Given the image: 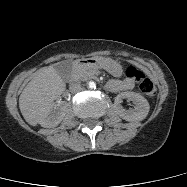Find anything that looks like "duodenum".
Here are the masks:
<instances>
[{
    "label": "duodenum",
    "instance_id": "obj_1",
    "mask_svg": "<svg viewBox=\"0 0 187 187\" xmlns=\"http://www.w3.org/2000/svg\"><path fill=\"white\" fill-rule=\"evenodd\" d=\"M94 62V60L92 58H81V59H78L76 60L74 63H73V70H77L78 68L86 65V64H89V63H92Z\"/></svg>",
    "mask_w": 187,
    "mask_h": 187
}]
</instances>
